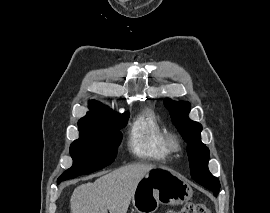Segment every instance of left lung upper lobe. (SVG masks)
I'll return each instance as SVG.
<instances>
[{"mask_svg":"<svg viewBox=\"0 0 270 213\" xmlns=\"http://www.w3.org/2000/svg\"><path fill=\"white\" fill-rule=\"evenodd\" d=\"M174 125L187 142L191 177L199 184L213 191L216 196L220 189L219 180L208 169L209 149L201 142L202 126L188 118L190 103L165 100Z\"/></svg>","mask_w":270,"mask_h":213,"instance_id":"obj_1","label":"left lung upper lobe"}]
</instances>
